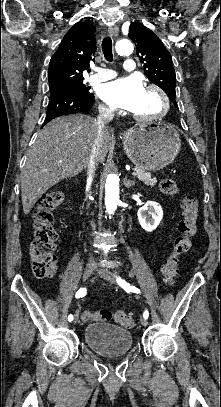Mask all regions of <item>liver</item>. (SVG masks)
I'll use <instances>...</instances> for the list:
<instances>
[{
  "label": "liver",
  "instance_id": "1",
  "mask_svg": "<svg viewBox=\"0 0 221 407\" xmlns=\"http://www.w3.org/2000/svg\"><path fill=\"white\" fill-rule=\"evenodd\" d=\"M95 119L76 114L49 122L39 133L27 154L21 172L23 212L27 215L37 200L60 181L74 177L88 164L97 134ZM114 145L107 130L102 139L100 161Z\"/></svg>",
  "mask_w": 221,
  "mask_h": 407
}]
</instances>
